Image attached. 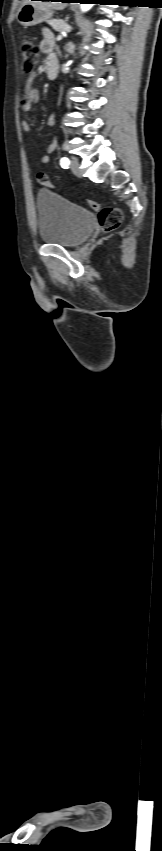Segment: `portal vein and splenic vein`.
I'll return each mask as SVG.
<instances>
[{
	"label": "portal vein and splenic vein",
	"mask_w": 162,
	"mask_h": 851,
	"mask_svg": "<svg viewBox=\"0 0 162 851\" xmlns=\"http://www.w3.org/2000/svg\"><path fill=\"white\" fill-rule=\"evenodd\" d=\"M62 38H63V35L61 34V35H58V36H57L56 40H57V41H60V40H62Z\"/></svg>",
	"instance_id": "portal-vein-and-splenic-vein-1"
}]
</instances>
